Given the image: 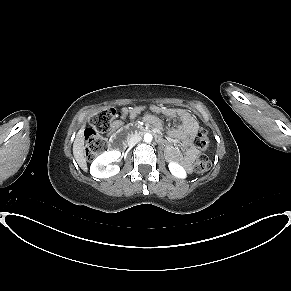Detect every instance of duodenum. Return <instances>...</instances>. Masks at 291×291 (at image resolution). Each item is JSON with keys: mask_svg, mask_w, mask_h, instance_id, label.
Returning a JSON list of instances; mask_svg holds the SVG:
<instances>
[{"mask_svg": "<svg viewBox=\"0 0 291 291\" xmlns=\"http://www.w3.org/2000/svg\"><path fill=\"white\" fill-rule=\"evenodd\" d=\"M137 133L143 135L144 133H150V128H145L142 123L128 125L123 131L114 136V140L110 141L108 148L110 152L117 154L124 149V142L130 138L132 134ZM155 142H165V138L160 135H154Z\"/></svg>", "mask_w": 291, "mask_h": 291, "instance_id": "410a0bca", "label": "duodenum"}]
</instances>
